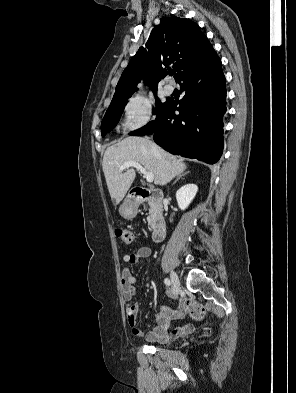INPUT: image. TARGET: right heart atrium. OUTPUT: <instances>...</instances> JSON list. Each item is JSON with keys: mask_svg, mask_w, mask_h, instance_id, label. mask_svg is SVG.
<instances>
[{"mask_svg": "<svg viewBox=\"0 0 296 393\" xmlns=\"http://www.w3.org/2000/svg\"><path fill=\"white\" fill-rule=\"evenodd\" d=\"M127 129L134 131L144 127L153 117V105L143 96L131 98L124 107Z\"/></svg>", "mask_w": 296, "mask_h": 393, "instance_id": "d8ad5b80", "label": "right heart atrium"}]
</instances>
